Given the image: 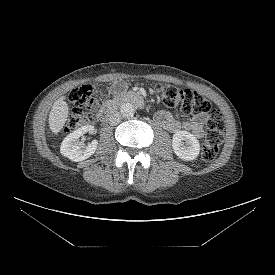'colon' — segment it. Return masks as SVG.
Masks as SVG:
<instances>
[{
  "label": "colon",
  "instance_id": "obj_1",
  "mask_svg": "<svg viewBox=\"0 0 275 275\" xmlns=\"http://www.w3.org/2000/svg\"><path fill=\"white\" fill-rule=\"evenodd\" d=\"M155 92L161 102L169 108H177L186 114L199 115L209 113L207 131L202 146V157L206 161L213 160L224 139V121L219 111L211 110L207 99L199 92L190 89H178L170 85H157ZM102 93H98L93 84H85L70 94L73 104L65 132H72L82 126L90 124L95 120V113Z\"/></svg>",
  "mask_w": 275,
  "mask_h": 275
}]
</instances>
